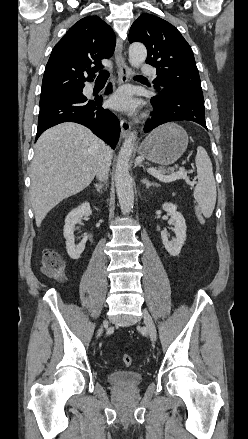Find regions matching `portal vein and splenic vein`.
Listing matches in <instances>:
<instances>
[{"instance_id":"portal-vein-and-splenic-vein-1","label":"portal vein and splenic vein","mask_w":248,"mask_h":439,"mask_svg":"<svg viewBox=\"0 0 248 439\" xmlns=\"http://www.w3.org/2000/svg\"><path fill=\"white\" fill-rule=\"evenodd\" d=\"M148 173L151 174L152 176L156 177L157 179L163 181V182H172L175 181L177 179H187V173L183 170L171 174L169 176H164L162 173H160L159 171H157L154 168H149Z\"/></svg>"}]
</instances>
